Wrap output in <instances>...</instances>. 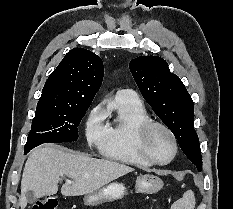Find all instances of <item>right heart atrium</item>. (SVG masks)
I'll list each match as a JSON object with an SVG mask.
<instances>
[{
	"label": "right heart atrium",
	"mask_w": 233,
	"mask_h": 209,
	"mask_svg": "<svg viewBox=\"0 0 233 209\" xmlns=\"http://www.w3.org/2000/svg\"><path fill=\"white\" fill-rule=\"evenodd\" d=\"M85 135L90 146H100L106 137V127L103 123V112L99 107L90 110L86 125Z\"/></svg>",
	"instance_id": "right-heart-atrium-1"
}]
</instances>
